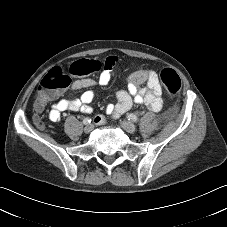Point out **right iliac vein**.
Masks as SVG:
<instances>
[{
  "mask_svg": "<svg viewBox=\"0 0 227 227\" xmlns=\"http://www.w3.org/2000/svg\"><path fill=\"white\" fill-rule=\"evenodd\" d=\"M94 126L92 124H88L84 127L85 133H90L93 130Z\"/></svg>",
  "mask_w": 227,
  "mask_h": 227,
  "instance_id": "1",
  "label": "right iliac vein"
}]
</instances>
